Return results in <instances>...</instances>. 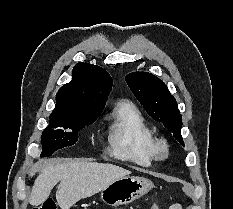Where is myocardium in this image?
<instances>
[{
  "mask_svg": "<svg viewBox=\"0 0 233 209\" xmlns=\"http://www.w3.org/2000/svg\"><path fill=\"white\" fill-rule=\"evenodd\" d=\"M154 152L156 157L161 159L166 158L169 155L168 142L163 138L155 140Z\"/></svg>",
  "mask_w": 233,
  "mask_h": 209,
  "instance_id": "myocardium-1",
  "label": "myocardium"
}]
</instances>
